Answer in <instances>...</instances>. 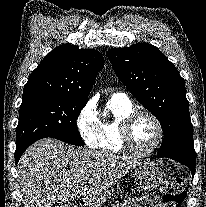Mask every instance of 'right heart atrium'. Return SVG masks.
Instances as JSON below:
<instances>
[{
  "label": "right heart atrium",
  "instance_id": "right-heart-atrium-1",
  "mask_svg": "<svg viewBox=\"0 0 206 207\" xmlns=\"http://www.w3.org/2000/svg\"><path fill=\"white\" fill-rule=\"evenodd\" d=\"M76 127L84 141L90 148H98L100 145V121L97 117L93 102H87L78 112Z\"/></svg>",
  "mask_w": 206,
  "mask_h": 207
}]
</instances>
